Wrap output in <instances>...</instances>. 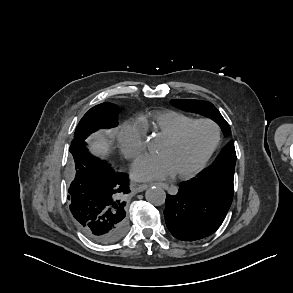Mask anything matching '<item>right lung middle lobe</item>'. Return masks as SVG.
<instances>
[{"mask_svg":"<svg viewBox=\"0 0 293 293\" xmlns=\"http://www.w3.org/2000/svg\"><path fill=\"white\" fill-rule=\"evenodd\" d=\"M118 112V107L110 103H102L91 108L80 120L75 130L74 139L85 140L91 133L100 128L116 127L118 125Z\"/></svg>","mask_w":293,"mask_h":293,"instance_id":"right-lung-middle-lobe-1","label":"right lung middle lobe"}]
</instances>
